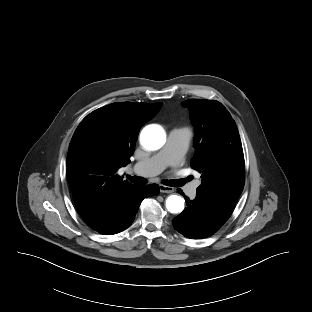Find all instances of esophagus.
Listing matches in <instances>:
<instances>
[{
  "mask_svg": "<svg viewBox=\"0 0 312 312\" xmlns=\"http://www.w3.org/2000/svg\"><path fill=\"white\" fill-rule=\"evenodd\" d=\"M159 188H160V192L161 193H172V192H174V188L173 187L166 186V185H163V184H160Z\"/></svg>",
  "mask_w": 312,
  "mask_h": 312,
  "instance_id": "obj_1",
  "label": "esophagus"
}]
</instances>
